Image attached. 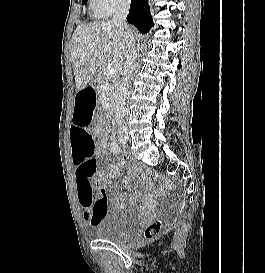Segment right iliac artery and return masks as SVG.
I'll list each match as a JSON object with an SVG mask.
<instances>
[{
	"mask_svg": "<svg viewBox=\"0 0 265 273\" xmlns=\"http://www.w3.org/2000/svg\"><path fill=\"white\" fill-rule=\"evenodd\" d=\"M111 151L115 154H118L120 152V146L117 141H113V143L111 144Z\"/></svg>",
	"mask_w": 265,
	"mask_h": 273,
	"instance_id": "1",
	"label": "right iliac artery"
}]
</instances>
